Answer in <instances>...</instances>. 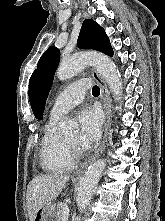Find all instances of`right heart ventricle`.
<instances>
[{
  "label": "right heart ventricle",
  "instance_id": "1",
  "mask_svg": "<svg viewBox=\"0 0 165 221\" xmlns=\"http://www.w3.org/2000/svg\"><path fill=\"white\" fill-rule=\"evenodd\" d=\"M58 118H51L44 127L39 158L42 169L48 173L70 171L75 165V158L65 145L64 138L57 130Z\"/></svg>",
  "mask_w": 165,
  "mask_h": 221
}]
</instances>
